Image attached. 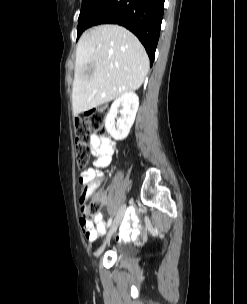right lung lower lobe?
<instances>
[{
	"instance_id": "1",
	"label": "right lung lower lobe",
	"mask_w": 247,
	"mask_h": 304,
	"mask_svg": "<svg viewBox=\"0 0 247 304\" xmlns=\"http://www.w3.org/2000/svg\"><path fill=\"white\" fill-rule=\"evenodd\" d=\"M165 0H102L84 19L83 31L97 24H119L144 45L152 66Z\"/></svg>"
}]
</instances>
